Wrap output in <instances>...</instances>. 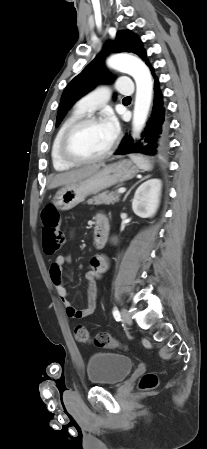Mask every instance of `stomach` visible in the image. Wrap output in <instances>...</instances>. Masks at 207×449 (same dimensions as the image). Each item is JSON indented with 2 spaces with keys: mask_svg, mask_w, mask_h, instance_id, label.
I'll list each match as a JSON object with an SVG mask.
<instances>
[{
  "mask_svg": "<svg viewBox=\"0 0 207 449\" xmlns=\"http://www.w3.org/2000/svg\"><path fill=\"white\" fill-rule=\"evenodd\" d=\"M138 172L137 165L127 159L104 165L94 174L59 189L53 198V204L58 210H70L88 196L130 180Z\"/></svg>",
  "mask_w": 207,
  "mask_h": 449,
  "instance_id": "1",
  "label": "stomach"
}]
</instances>
